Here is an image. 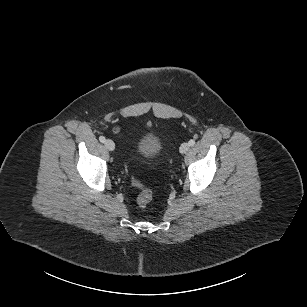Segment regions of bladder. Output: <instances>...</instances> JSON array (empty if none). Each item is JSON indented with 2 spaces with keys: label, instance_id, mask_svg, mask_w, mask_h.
<instances>
[{
  "label": "bladder",
  "instance_id": "obj_1",
  "mask_svg": "<svg viewBox=\"0 0 307 307\" xmlns=\"http://www.w3.org/2000/svg\"><path fill=\"white\" fill-rule=\"evenodd\" d=\"M135 150L143 157L157 159L161 156L164 145L157 135L152 132H147L137 140Z\"/></svg>",
  "mask_w": 307,
  "mask_h": 307
}]
</instances>
